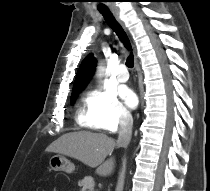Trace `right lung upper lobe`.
Listing matches in <instances>:
<instances>
[{
    "instance_id": "right-lung-upper-lobe-1",
    "label": "right lung upper lobe",
    "mask_w": 210,
    "mask_h": 191,
    "mask_svg": "<svg viewBox=\"0 0 210 191\" xmlns=\"http://www.w3.org/2000/svg\"><path fill=\"white\" fill-rule=\"evenodd\" d=\"M95 66L96 60L94 58V55L89 54L83 60L77 71L71 98L77 96L78 92L86 86V84L90 80L91 75L94 73Z\"/></svg>"
}]
</instances>
